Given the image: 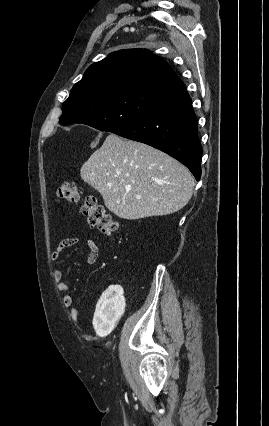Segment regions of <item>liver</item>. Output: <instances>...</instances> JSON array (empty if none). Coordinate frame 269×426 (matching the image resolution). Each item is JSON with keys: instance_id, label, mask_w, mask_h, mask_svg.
Here are the masks:
<instances>
[{"instance_id": "1", "label": "liver", "mask_w": 269, "mask_h": 426, "mask_svg": "<svg viewBox=\"0 0 269 426\" xmlns=\"http://www.w3.org/2000/svg\"><path fill=\"white\" fill-rule=\"evenodd\" d=\"M81 178L116 216L135 220L182 209L194 179L176 159L147 144L109 134L82 165Z\"/></svg>"}]
</instances>
